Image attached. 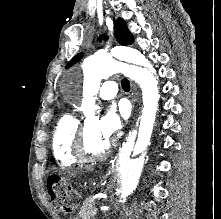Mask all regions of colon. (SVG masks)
Here are the masks:
<instances>
[{"label":"colon","mask_w":221,"mask_h":219,"mask_svg":"<svg viewBox=\"0 0 221 219\" xmlns=\"http://www.w3.org/2000/svg\"><path fill=\"white\" fill-rule=\"evenodd\" d=\"M64 183L60 182V181H52L49 184V190H50V194L51 195H61L63 194V187H64ZM74 195L70 194L67 199H66V204L71 207L69 210V213L73 210V206H74Z\"/></svg>","instance_id":"colon-1"}]
</instances>
